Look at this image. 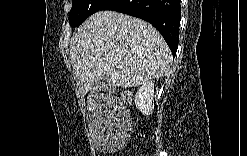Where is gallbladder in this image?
<instances>
[{
  "instance_id": "gallbladder-1",
  "label": "gallbladder",
  "mask_w": 247,
  "mask_h": 156,
  "mask_svg": "<svg viewBox=\"0 0 247 156\" xmlns=\"http://www.w3.org/2000/svg\"><path fill=\"white\" fill-rule=\"evenodd\" d=\"M93 86L99 89L104 88L107 92L115 90V87L106 79L105 76L97 78Z\"/></svg>"
}]
</instances>
